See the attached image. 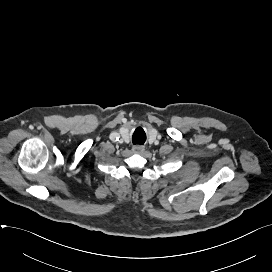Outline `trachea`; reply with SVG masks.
<instances>
[{"label": "trachea", "instance_id": "trachea-1", "mask_svg": "<svg viewBox=\"0 0 272 272\" xmlns=\"http://www.w3.org/2000/svg\"><path fill=\"white\" fill-rule=\"evenodd\" d=\"M145 140H146L145 134L141 136L134 135L132 138L134 144H144Z\"/></svg>", "mask_w": 272, "mask_h": 272}]
</instances>
